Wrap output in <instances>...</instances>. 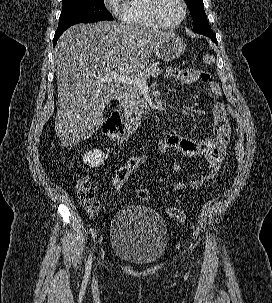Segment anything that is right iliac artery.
I'll use <instances>...</instances> for the list:
<instances>
[{"mask_svg": "<svg viewBox=\"0 0 272 303\" xmlns=\"http://www.w3.org/2000/svg\"><path fill=\"white\" fill-rule=\"evenodd\" d=\"M91 264H92V252H90L89 256H88V260L86 263V268H85V274L88 276L90 274L91 271Z\"/></svg>", "mask_w": 272, "mask_h": 303, "instance_id": "1", "label": "right iliac artery"}]
</instances>
